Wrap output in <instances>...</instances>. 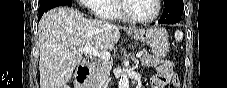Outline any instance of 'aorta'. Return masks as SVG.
I'll return each instance as SVG.
<instances>
[{
	"label": "aorta",
	"mask_w": 227,
	"mask_h": 88,
	"mask_svg": "<svg viewBox=\"0 0 227 88\" xmlns=\"http://www.w3.org/2000/svg\"><path fill=\"white\" fill-rule=\"evenodd\" d=\"M119 88H129V79L126 74H123L121 76V79L119 82Z\"/></svg>",
	"instance_id": "762f6f07"
}]
</instances>
